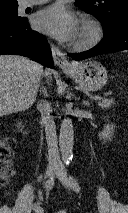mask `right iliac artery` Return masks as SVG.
I'll use <instances>...</instances> for the list:
<instances>
[{"label":"right iliac artery","instance_id":"obj_1","mask_svg":"<svg viewBox=\"0 0 128 213\" xmlns=\"http://www.w3.org/2000/svg\"><path fill=\"white\" fill-rule=\"evenodd\" d=\"M53 186H54V178H50L47 182H46V184H45V189L47 190V191H49V190H51L52 188H53ZM38 213L40 212L41 213V211H37Z\"/></svg>","mask_w":128,"mask_h":213}]
</instances>
